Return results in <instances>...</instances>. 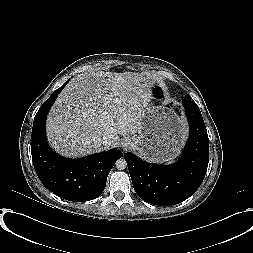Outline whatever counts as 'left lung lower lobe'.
I'll use <instances>...</instances> for the list:
<instances>
[{
  "label": "left lung lower lobe",
  "instance_id": "1",
  "mask_svg": "<svg viewBox=\"0 0 253 253\" xmlns=\"http://www.w3.org/2000/svg\"><path fill=\"white\" fill-rule=\"evenodd\" d=\"M190 134L183 155L173 165L147 163L124 153L133 187L144 201L170 206L189 198L201 185L209 162L207 130L197 104L183 100Z\"/></svg>",
  "mask_w": 253,
  "mask_h": 253
}]
</instances>
